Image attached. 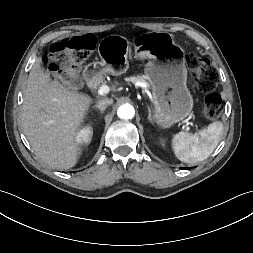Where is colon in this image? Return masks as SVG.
Segmentation results:
<instances>
[{
	"label": "colon",
	"mask_w": 253,
	"mask_h": 253,
	"mask_svg": "<svg viewBox=\"0 0 253 253\" xmlns=\"http://www.w3.org/2000/svg\"><path fill=\"white\" fill-rule=\"evenodd\" d=\"M94 45L95 41L91 36L74 37L53 44L48 56L51 69L62 71L65 79L75 83L69 68L73 64L83 62L94 49ZM186 64L199 89L209 93L204 101L205 117L208 120L218 119L222 113V103L219 95L213 93L218 81L216 72L207 59L194 53L188 54Z\"/></svg>",
	"instance_id": "5ec220e1"
}]
</instances>
